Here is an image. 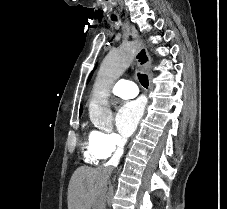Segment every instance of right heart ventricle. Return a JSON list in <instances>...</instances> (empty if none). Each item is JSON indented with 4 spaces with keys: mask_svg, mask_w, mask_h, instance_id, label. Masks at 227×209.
I'll use <instances>...</instances> for the list:
<instances>
[{
    "mask_svg": "<svg viewBox=\"0 0 227 209\" xmlns=\"http://www.w3.org/2000/svg\"><path fill=\"white\" fill-rule=\"evenodd\" d=\"M93 132L94 131L90 133L89 139L87 140V142H85L83 146V155L85 161L88 164L98 165L101 161L107 158V155L93 139Z\"/></svg>",
    "mask_w": 227,
    "mask_h": 209,
    "instance_id": "obj_1",
    "label": "right heart ventricle"
}]
</instances>
